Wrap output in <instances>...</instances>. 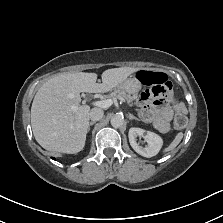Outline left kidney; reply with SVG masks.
Returning a JSON list of instances; mask_svg holds the SVG:
<instances>
[{"instance_id":"5707ae66","label":"left kidney","mask_w":223,"mask_h":223,"mask_svg":"<svg viewBox=\"0 0 223 223\" xmlns=\"http://www.w3.org/2000/svg\"><path fill=\"white\" fill-rule=\"evenodd\" d=\"M128 136L132 148L137 153L145 157L156 156L161 151L164 144V140L159 134L137 127L130 128ZM139 136L143 137L146 140V146L141 147L138 145L136 139Z\"/></svg>"}]
</instances>
